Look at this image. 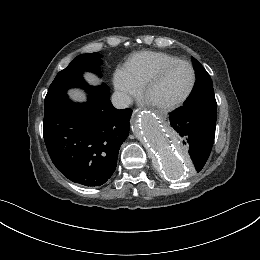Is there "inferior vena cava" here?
Masks as SVG:
<instances>
[{"mask_svg": "<svg viewBox=\"0 0 260 260\" xmlns=\"http://www.w3.org/2000/svg\"><path fill=\"white\" fill-rule=\"evenodd\" d=\"M111 101L113 106L117 109H125L133 102L131 96L120 91H116L113 93Z\"/></svg>", "mask_w": 260, "mask_h": 260, "instance_id": "1", "label": "inferior vena cava"}]
</instances>
